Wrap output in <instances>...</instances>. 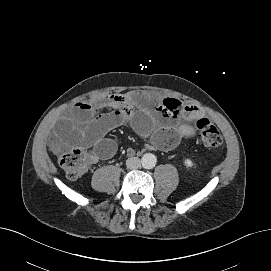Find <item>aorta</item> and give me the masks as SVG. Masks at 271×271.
I'll list each match as a JSON object with an SVG mask.
<instances>
[{
	"mask_svg": "<svg viewBox=\"0 0 271 271\" xmlns=\"http://www.w3.org/2000/svg\"><path fill=\"white\" fill-rule=\"evenodd\" d=\"M156 156L152 153H146L142 156V166L147 169H151L156 165Z\"/></svg>",
	"mask_w": 271,
	"mask_h": 271,
	"instance_id": "obj_1",
	"label": "aorta"
}]
</instances>
